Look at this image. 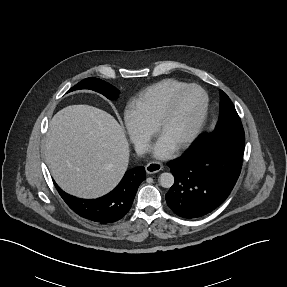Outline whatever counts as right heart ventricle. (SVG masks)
<instances>
[{
  "label": "right heart ventricle",
  "instance_id": "obj_1",
  "mask_svg": "<svg viewBox=\"0 0 287 287\" xmlns=\"http://www.w3.org/2000/svg\"><path fill=\"white\" fill-rule=\"evenodd\" d=\"M186 83L165 79L144 89L135 98L129 112L147 129L153 130L171 95Z\"/></svg>",
  "mask_w": 287,
  "mask_h": 287
}]
</instances>
